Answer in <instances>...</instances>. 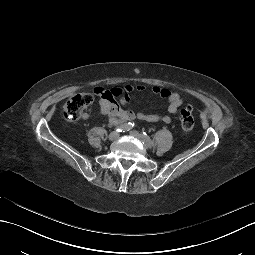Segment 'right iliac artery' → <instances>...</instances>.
Instances as JSON below:
<instances>
[{"label": "right iliac artery", "mask_w": 255, "mask_h": 255, "mask_svg": "<svg viewBox=\"0 0 255 255\" xmlns=\"http://www.w3.org/2000/svg\"><path fill=\"white\" fill-rule=\"evenodd\" d=\"M133 127H134V123L128 122V123L118 126L115 130H116V132H125V131L132 129Z\"/></svg>", "instance_id": "1"}]
</instances>
